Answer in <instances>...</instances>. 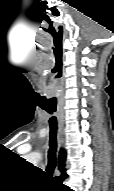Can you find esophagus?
Here are the masks:
<instances>
[{
  "label": "esophagus",
  "mask_w": 114,
  "mask_h": 191,
  "mask_svg": "<svg viewBox=\"0 0 114 191\" xmlns=\"http://www.w3.org/2000/svg\"><path fill=\"white\" fill-rule=\"evenodd\" d=\"M59 127H60V131H61V129H62V121L61 120L59 122Z\"/></svg>",
  "instance_id": "esophagus-1"
}]
</instances>
